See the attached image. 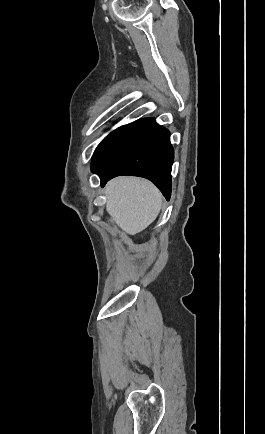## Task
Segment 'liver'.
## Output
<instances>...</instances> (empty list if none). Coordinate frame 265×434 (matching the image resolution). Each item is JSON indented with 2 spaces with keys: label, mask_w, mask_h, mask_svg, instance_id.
<instances>
[{
  "label": "liver",
  "mask_w": 265,
  "mask_h": 434,
  "mask_svg": "<svg viewBox=\"0 0 265 434\" xmlns=\"http://www.w3.org/2000/svg\"><path fill=\"white\" fill-rule=\"evenodd\" d=\"M105 194L106 212L130 236L148 228L162 208L161 192L141 178H114L108 182Z\"/></svg>",
  "instance_id": "obj_1"
}]
</instances>
